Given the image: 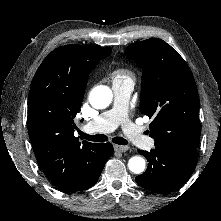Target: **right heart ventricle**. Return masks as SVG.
<instances>
[{
    "mask_svg": "<svg viewBox=\"0 0 221 221\" xmlns=\"http://www.w3.org/2000/svg\"><path fill=\"white\" fill-rule=\"evenodd\" d=\"M112 79H113V82H126V81L133 82L134 73L131 69L127 67H120V68H117L112 73Z\"/></svg>",
    "mask_w": 221,
    "mask_h": 221,
    "instance_id": "1",
    "label": "right heart ventricle"
}]
</instances>
